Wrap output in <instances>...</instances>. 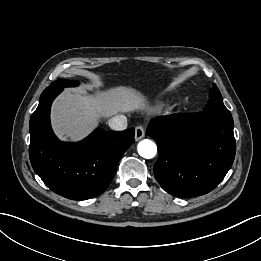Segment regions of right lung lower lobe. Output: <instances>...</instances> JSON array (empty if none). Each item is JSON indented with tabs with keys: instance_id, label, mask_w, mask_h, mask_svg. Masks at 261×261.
Masks as SVG:
<instances>
[{
	"instance_id": "98d812e1",
	"label": "right lung lower lobe",
	"mask_w": 261,
	"mask_h": 261,
	"mask_svg": "<svg viewBox=\"0 0 261 261\" xmlns=\"http://www.w3.org/2000/svg\"><path fill=\"white\" fill-rule=\"evenodd\" d=\"M62 90L47 87L31 116V165L53 192L72 200L91 199L110 184L120 158L135 141L134 128L120 132L96 129L81 142H60L51 129L50 107Z\"/></svg>"
}]
</instances>
